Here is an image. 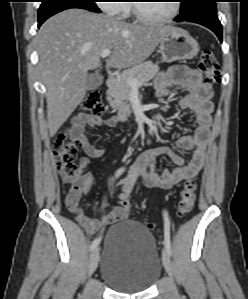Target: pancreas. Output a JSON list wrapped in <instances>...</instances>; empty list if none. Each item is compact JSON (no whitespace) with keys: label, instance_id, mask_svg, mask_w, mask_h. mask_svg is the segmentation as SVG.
<instances>
[{"label":"pancreas","instance_id":"obj_1","mask_svg":"<svg viewBox=\"0 0 248 299\" xmlns=\"http://www.w3.org/2000/svg\"><path fill=\"white\" fill-rule=\"evenodd\" d=\"M158 71L159 66L157 64H154L152 61H146L121 73L117 77L116 83L107 92L110 106L118 111V114L122 117L130 115L131 110L128 101L132 87L129 85L128 79L137 80L140 83L138 87H140L153 79Z\"/></svg>","mask_w":248,"mask_h":299}]
</instances>
